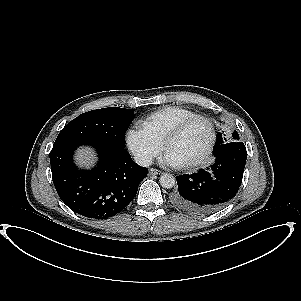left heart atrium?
<instances>
[{
    "mask_svg": "<svg viewBox=\"0 0 301 301\" xmlns=\"http://www.w3.org/2000/svg\"><path fill=\"white\" fill-rule=\"evenodd\" d=\"M161 162L164 165L173 168H182L186 165L183 159H181L180 157H178L177 155H175L170 151L165 152V154L162 156Z\"/></svg>",
    "mask_w": 301,
    "mask_h": 301,
    "instance_id": "left-heart-atrium-1",
    "label": "left heart atrium"
}]
</instances>
